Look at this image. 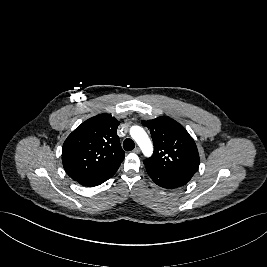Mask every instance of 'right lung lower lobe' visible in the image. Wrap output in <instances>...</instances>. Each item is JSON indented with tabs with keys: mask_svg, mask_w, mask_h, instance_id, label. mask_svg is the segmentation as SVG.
<instances>
[{
	"mask_svg": "<svg viewBox=\"0 0 267 267\" xmlns=\"http://www.w3.org/2000/svg\"><path fill=\"white\" fill-rule=\"evenodd\" d=\"M119 166H114V167L99 171L97 173L91 174L87 177L77 180V182L83 186H88V187H94V186L100 185L106 180H108L109 178H111L115 174Z\"/></svg>",
	"mask_w": 267,
	"mask_h": 267,
	"instance_id": "1",
	"label": "right lung lower lobe"
}]
</instances>
